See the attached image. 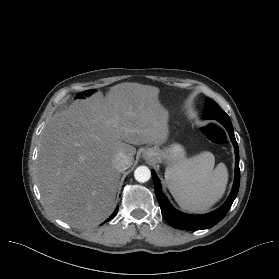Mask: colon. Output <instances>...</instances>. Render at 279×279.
Segmentation results:
<instances>
[{
    "mask_svg": "<svg viewBox=\"0 0 279 279\" xmlns=\"http://www.w3.org/2000/svg\"><path fill=\"white\" fill-rule=\"evenodd\" d=\"M202 135L212 144L223 145L227 141V134L216 124H208L201 128Z\"/></svg>",
    "mask_w": 279,
    "mask_h": 279,
    "instance_id": "5ec220e1",
    "label": "colon"
}]
</instances>
